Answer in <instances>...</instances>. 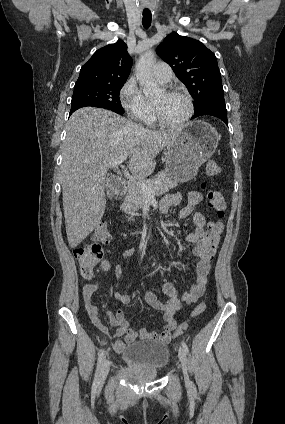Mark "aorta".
Instances as JSON below:
<instances>
[{
	"instance_id": "obj_1",
	"label": "aorta",
	"mask_w": 285,
	"mask_h": 424,
	"mask_svg": "<svg viewBox=\"0 0 285 424\" xmlns=\"http://www.w3.org/2000/svg\"><path fill=\"white\" fill-rule=\"evenodd\" d=\"M155 60V52L149 50L141 55L136 64L135 75L145 96H153L160 92L152 73Z\"/></svg>"
}]
</instances>
